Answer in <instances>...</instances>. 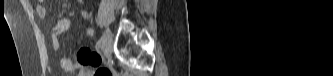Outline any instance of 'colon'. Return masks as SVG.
<instances>
[{"label": "colon", "instance_id": "1", "mask_svg": "<svg viewBox=\"0 0 333 76\" xmlns=\"http://www.w3.org/2000/svg\"><path fill=\"white\" fill-rule=\"evenodd\" d=\"M112 72L107 68L98 69L95 73V76H112Z\"/></svg>", "mask_w": 333, "mask_h": 76}]
</instances>
